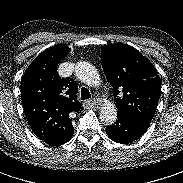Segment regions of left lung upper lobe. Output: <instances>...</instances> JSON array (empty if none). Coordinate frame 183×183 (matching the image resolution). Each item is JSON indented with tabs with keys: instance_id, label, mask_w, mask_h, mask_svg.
<instances>
[{
	"instance_id": "left-lung-upper-lobe-1",
	"label": "left lung upper lobe",
	"mask_w": 183,
	"mask_h": 183,
	"mask_svg": "<svg viewBox=\"0 0 183 183\" xmlns=\"http://www.w3.org/2000/svg\"><path fill=\"white\" fill-rule=\"evenodd\" d=\"M101 52L118 114L150 123L161 94V80L153 64L126 44L105 45Z\"/></svg>"
}]
</instances>
